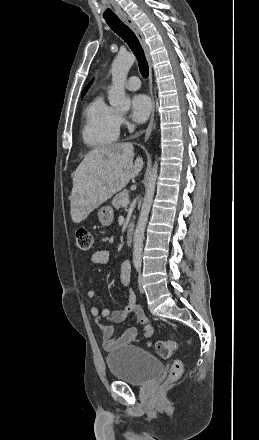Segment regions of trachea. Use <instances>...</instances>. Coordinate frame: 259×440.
<instances>
[{
    "mask_svg": "<svg viewBox=\"0 0 259 440\" xmlns=\"http://www.w3.org/2000/svg\"><path fill=\"white\" fill-rule=\"evenodd\" d=\"M106 23L127 43L139 62L141 75L147 78L149 75L148 63L145 59L144 50L134 32L118 17L106 19Z\"/></svg>",
    "mask_w": 259,
    "mask_h": 440,
    "instance_id": "trachea-1",
    "label": "trachea"
}]
</instances>
